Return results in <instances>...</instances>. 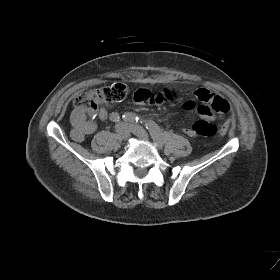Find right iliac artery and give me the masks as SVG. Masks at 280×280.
Returning <instances> with one entry per match:
<instances>
[{
  "mask_svg": "<svg viewBox=\"0 0 280 280\" xmlns=\"http://www.w3.org/2000/svg\"><path fill=\"white\" fill-rule=\"evenodd\" d=\"M119 118L120 117H119L118 113L113 112V113L110 114V120L111 121L117 122V121H119Z\"/></svg>",
  "mask_w": 280,
  "mask_h": 280,
  "instance_id": "right-iliac-artery-1",
  "label": "right iliac artery"
}]
</instances>
